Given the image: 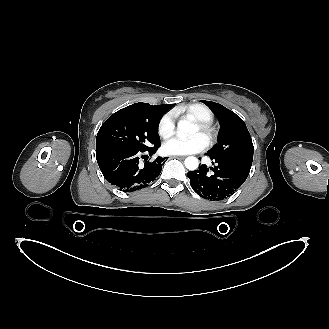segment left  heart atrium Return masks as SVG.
I'll return each mask as SVG.
<instances>
[{"instance_id":"1","label":"left heart atrium","mask_w":329,"mask_h":329,"mask_svg":"<svg viewBox=\"0 0 329 329\" xmlns=\"http://www.w3.org/2000/svg\"><path fill=\"white\" fill-rule=\"evenodd\" d=\"M207 147V140L201 135L196 134L189 138L174 137L167 140L163 149L168 154L186 155L203 151Z\"/></svg>"}]
</instances>
